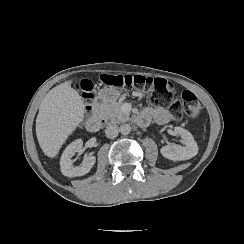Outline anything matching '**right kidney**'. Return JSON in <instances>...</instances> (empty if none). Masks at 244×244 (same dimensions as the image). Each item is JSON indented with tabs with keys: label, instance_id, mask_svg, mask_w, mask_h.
Listing matches in <instances>:
<instances>
[{
	"label": "right kidney",
	"instance_id": "obj_1",
	"mask_svg": "<svg viewBox=\"0 0 244 244\" xmlns=\"http://www.w3.org/2000/svg\"><path fill=\"white\" fill-rule=\"evenodd\" d=\"M83 147L82 139H77L70 143L64 150L60 159V168L64 176L76 177L87 174L93 165L95 164L96 158L94 156L85 157L83 163L80 166H73L72 157L76 152L81 151Z\"/></svg>",
	"mask_w": 244,
	"mask_h": 244
}]
</instances>
